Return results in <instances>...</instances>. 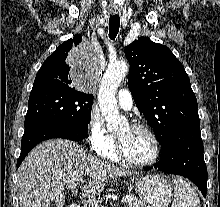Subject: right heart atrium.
<instances>
[{
	"mask_svg": "<svg viewBox=\"0 0 220 207\" xmlns=\"http://www.w3.org/2000/svg\"><path fill=\"white\" fill-rule=\"evenodd\" d=\"M87 134L90 147L99 155L114 145L113 136L107 131L102 116L96 110L90 113Z\"/></svg>",
	"mask_w": 220,
	"mask_h": 207,
	"instance_id": "right-heart-atrium-1",
	"label": "right heart atrium"
}]
</instances>
